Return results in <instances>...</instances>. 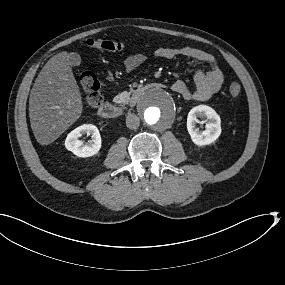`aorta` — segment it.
Returning <instances> with one entry per match:
<instances>
[{
    "label": "aorta",
    "mask_w": 285,
    "mask_h": 285,
    "mask_svg": "<svg viewBox=\"0 0 285 285\" xmlns=\"http://www.w3.org/2000/svg\"><path fill=\"white\" fill-rule=\"evenodd\" d=\"M137 116L140 122L151 130H164L170 127L178 116V103L175 97L164 89H151L145 92L137 103Z\"/></svg>",
    "instance_id": "obj_1"
}]
</instances>
